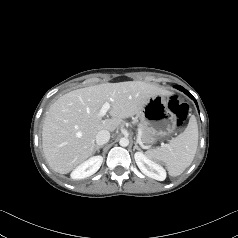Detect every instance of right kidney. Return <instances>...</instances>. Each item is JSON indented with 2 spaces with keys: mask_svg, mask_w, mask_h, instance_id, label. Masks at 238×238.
Wrapping results in <instances>:
<instances>
[{
  "mask_svg": "<svg viewBox=\"0 0 238 238\" xmlns=\"http://www.w3.org/2000/svg\"><path fill=\"white\" fill-rule=\"evenodd\" d=\"M103 162L102 156H93L80 164L71 173V178L74 180L84 179L96 173Z\"/></svg>",
  "mask_w": 238,
  "mask_h": 238,
  "instance_id": "ca27d5eb",
  "label": "right kidney"
}]
</instances>
